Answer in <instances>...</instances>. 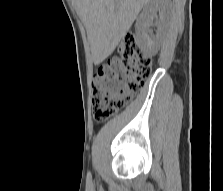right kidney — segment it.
Instances as JSON below:
<instances>
[{
	"instance_id": "ca27d5eb",
	"label": "right kidney",
	"mask_w": 223,
	"mask_h": 191,
	"mask_svg": "<svg viewBox=\"0 0 223 191\" xmlns=\"http://www.w3.org/2000/svg\"><path fill=\"white\" fill-rule=\"evenodd\" d=\"M168 4V0H151L137 18L135 24L137 43L148 55H155L159 49ZM157 14L158 18H156ZM151 26L156 27L155 33Z\"/></svg>"
}]
</instances>
